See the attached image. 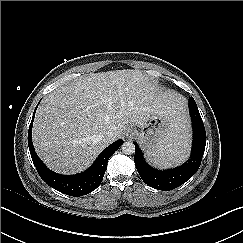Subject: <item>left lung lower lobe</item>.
<instances>
[{"label": "left lung lower lobe", "mask_w": 243, "mask_h": 243, "mask_svg": "<svg viewBox=\"0 0 243 243\" xmlns=\"http://www.w3.org/2000/svg\"><path fill=\"white\" fill-rule=\"evenodd\" d=\"M190 116L193 123V142L190 159L182 166L170 170H156L149 166L136 142L134 162L144 183L158 190L168 191L188 181L198 170L206 146V132L193 97L189 98Z\"/></svg>", "instance_id": "1"}]
</instances>
